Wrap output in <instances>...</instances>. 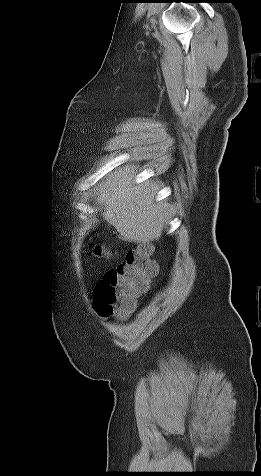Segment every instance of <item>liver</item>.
I'll list each match as a JSON object with an SVG mask.
<instances>
[{
  "label": "liver",
  "instance_id": "1",
  "mask_svg": "<svg viewBox=\"0 0 261 476\" xmlns=\"http://www.w3.org/2000/svg\"><path fill=\"white\" fill-rule=\"evenodd\" d=\"M95 204L124 241L158 240L168 223V209L157 201L152 183L138 184L129 171L106 180L95 195Z\"/></svg>",
  "mask_w": 261,
  "mask_h": 476
}]
</instances>
